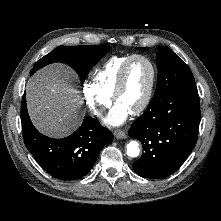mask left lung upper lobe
Wrapping results in <instances>:
<instances>
[{
    "mask_svg": "<svg viewBox=\"0 0 221 221\" xmlns=\"http://www.w3.org/2000/svg\"><path fill=\"white\" fill-rule=\"evenodd\" d=\"M156 57L157 87L151 102L160 100L180 88L196 85L190 68L170 48L160 46Z\"/></svg>",
    "mask_w": 221,
    "mask_h": 221,
    "instance_id": "5c2ea615",
    "label": "left lung upper lobe"
}]
</instances>
